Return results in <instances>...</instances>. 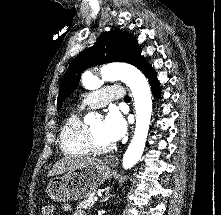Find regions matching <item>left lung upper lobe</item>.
Listing matches in <instances>:
<instances>
[{
    "mask_svg": "<svg viewBox=\"0 0 221 215\" xmlns=\"http://www.w3.org/2000/svg\"><path fill=\"white\" fill-rule=\"evenodd\" d=\"M140 53L137 40L130 33L121 30L103 33L92 47L77 55L69 65L60 85L57 108L77 87L86 68L103 63L127 62L143 72L150 65Z\"/></svg>",
    "mask_w": 221,
    "mask_h": 215,
    "instance_id": "1",
    "label": "left lung upper lobe"
}]
</instances>
